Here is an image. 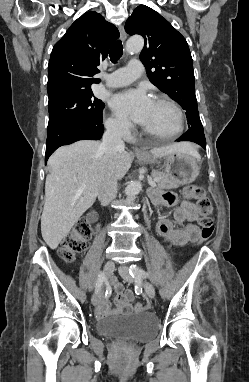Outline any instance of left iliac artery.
<instances>
[{"instance_id":"obj_1","label":"left iliac artery","mask_w":249,"mask_h":382,"mask_svg":"<svg viewBox=\"0 0 249 382\" xmlns=\"http://www.w3.org/2000/svg\"><path fill=\"white\" fill-rule=\"evenodd\" d=\"M130 275L135 278V280L140 279L141 277L143 278H149V274L141 269L140 267L136 265H131L129 268Z\"/></svg>"}]
</instances>
